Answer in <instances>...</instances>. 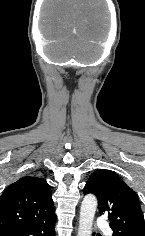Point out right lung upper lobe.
I'll list each match as a JSON object with an SVG mask.
<instances>
[{
	"mask_svg": "<svg viewBox=\"0 0 145 236\" xmlns=\"http://www.w3.org/2000/svg\"><path fill=\"white\" fill-rule=\"evenodd\" d=\"M53 215L51 188L42 177H22L9 185L0 197V231L32 225Z\"/></svg>",
	"mask_w": 145,
	"mask_h": 236,
	"instance_id": "1",
	"label": "right lung upper lobe"
}]
</instances>
